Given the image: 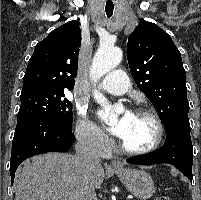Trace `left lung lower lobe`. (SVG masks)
<instances>
[{
    "mask_svg": "<svg viewBox=\"0 0 201 200\" xmlns=\"http://www.w3.org/2000/svg\"><path fill=\"white\" fill-rule=\"evenodd\" d=\"M166 134L165 144L161 149L126 161L140 165L171 164L179 169L192 183L193 147L190 138V124L177 125L166 131Z\"/></svg>",
    "mask_w": 201,
    "mask_h": 200,
    "instance_id": "obj_1",
    "label": "left lung lower lobe"
}]
</instances>
